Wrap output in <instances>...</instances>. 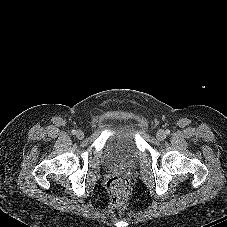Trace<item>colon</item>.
Segmentation results:
<instances>
[{
  "mask_svg": "<svg viewBox=\"0 0 227 227\" xmlns=\"http://www.w3.org/2000/svg\"><path fill=\"white\" fill-rule=\"evenodd\" d=\"M111 204L116 208H125L131 195V184L124 175L111 176L106 184Z\"/></svg>",
  "mask_w": 227,
  "mask_h": 227,
  "instance_id": "obj_1",
  "label": "colon"
}]
</instances>
